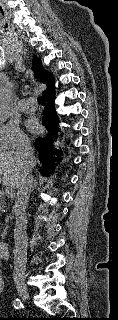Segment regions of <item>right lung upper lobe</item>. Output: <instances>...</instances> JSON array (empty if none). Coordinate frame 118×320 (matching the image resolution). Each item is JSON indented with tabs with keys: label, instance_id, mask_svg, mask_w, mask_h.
Returning a JSON list of instances; mask_svg holds the SVG:
<instances>
[{
	"label": "right lung upper lobe",
	"instance_id": "obj_1",
	"mask_svg": "<svg viewBox=\"0 0 118 320\" xmlns=\"http://www.w3.org/2000/svg\"><path fill=\"white\" fill-rule=\"evenodd\" d=\"M33 70L35 71V75L37 77H40L41 82L47 85V90L43 93V96L45 97L48 94L54 92V80L52 78V75L42 68L41 60L37 56L34 57Z\"/></svg>",
	"mask_w": 118,
	"mask_h": 320
}]
</instances>
